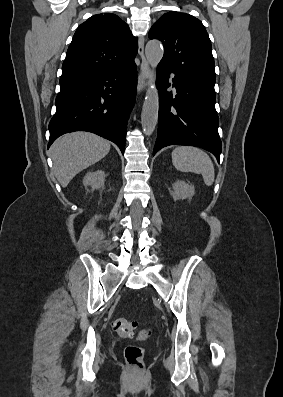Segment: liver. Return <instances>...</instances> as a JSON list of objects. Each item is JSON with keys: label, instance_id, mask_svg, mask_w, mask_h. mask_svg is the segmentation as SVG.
I'll return each mask as SVG.
<instances>
[{"label": "liver", "instance_id": "liver-1", "mask_svg": "<svg viewBox=\"0 0 283 397\" xmlns=\"http://www.w3.org/2000/svg\"><path fill=\"white\" fill-rule=\"evenodd\" d=\"M50 151L55 176L66 187L76 174L108 154L110 142L92 133L73 132L58 138Z\"/></svg>", "mask_w": 283, "mask_h": 397}]
</instances>
